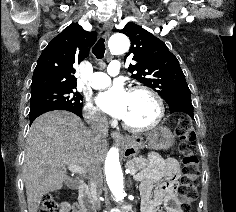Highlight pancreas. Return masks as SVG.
I'll return each instance as SVG.
<instances>
[{
    "mask_svg": "<svg viewBox=\"0 0 236 212\" xmlns=\"http://www.w3.org/2000/svg\"><path fill=\"white\" fill-rule=\"evenodd\" d=\"M147 165H148L147 160L142 156L135 157L132 161L126 163L127 168L135 169L136 171L144 169Z\"/></svg>",
    "mask_w": 236,
    "mask_h": 212,
    "instance_id": "pancreas-1",
    "label": "pancreas"
}]
</instances>
